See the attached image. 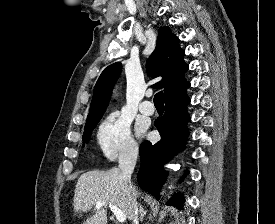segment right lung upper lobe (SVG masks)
<instances>
[{"instance_id":"right-lung-upper-lobe-1","label":"right lung upper lobe","mask_w":275,"mask_h":224,"mask_svg":"<svg viewBox=\"0 0 275 224\" xmlns=\"http://www.w3.org/2000/svg\"><path fill=\"white\" fill-rule=\"evenodd\" d=\"M184 55L185 52L179 46V39L168 27H161L156 48L147 60V71L152 77H163L153 87L164 88V95L185 81L184 73L188 70V65L183 61ZM121 70V63L116 62L101 73L94 87L86 125L103 116Z\"/></svg>"}]
</instances>
